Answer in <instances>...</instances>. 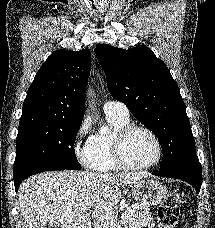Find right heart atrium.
<instances>
[{"label":"right heart atrium","mask_w":215,"mask_h":228,"mask_svg":"<svg viewBox=\"0 0 215 228\" xmlns=\"http://www.w3.org/2000/svg\"><path fill=\"white\" fill-rule=\"evenodd\" d=\"M90 127L89 118H84L80 121L74 133V150L80 163L87 162L86 146H82V141L89 133Z\"/></svg>","instance_id":"obj_1"}]
</instances>
